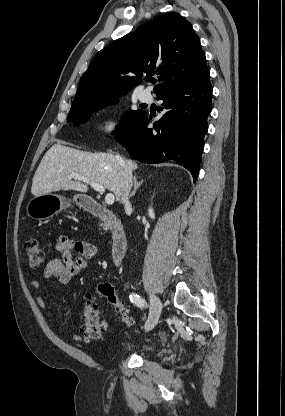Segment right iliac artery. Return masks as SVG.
<instances>
[{
  "mask_svg": "<svg viewBox=\"0 0 285 416\" xmlns=\"http://www.w3.org/2000/svg\"><path fill=\"white\" fill-rule=\"evenodd\" d=\"M130 301H131L132 303H134L136 306L140 307V308H144V307H147V306H148V304H147V302L145 301V299H144V298H142L141 296H139V295H138V294H136V293H132V294L130 295Z\"/></svg>",
  "mask_w": 285,
  "mask_h": 416,
  "instance_id": "right-iliac-artery-1",
  "label": "right iliac artery"
}]
</instances>
